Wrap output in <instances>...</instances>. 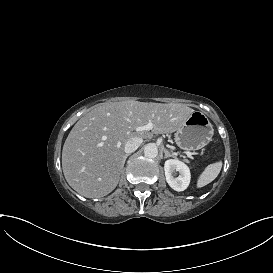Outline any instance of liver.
Returning <instances> with one entry per match:
<instances>
[{
    "instance_id": "6515ba94",
    "label": "liver",
    "mask_w": 273,
    "mask_h": 273,
    "mask_svg": "<svg viewBox=\"0 0 273 273\" xmlns=\"http://www.w3.org/2000/svg\"><path fill=\"white\" fill-rule=\"evenodd\" d=\"M192 112L185 104L134 100L93 106L64 143L62 168L67 182L88 198L109 194L117 186L125 163V143L132 137L152 136L148 131L133 132L134 127L152 122V133H172Z\"/></svg>"
}]
</instances>
